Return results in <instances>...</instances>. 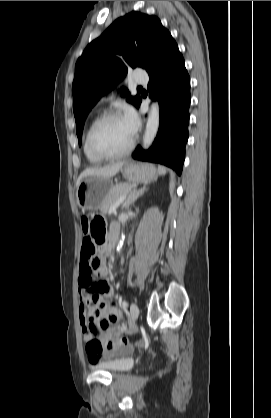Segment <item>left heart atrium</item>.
I'll return each instance as SVG.
<instances>
[{"instance_id":"39dd6f15","label":"left heart atrium","mask_w":271,"mask_h":418,"mask_svg":"<svg viewBox=\"0 0 271 418\" xmlns=\"http://www.w3.org/2000/svg\"><path fill=\"white\" fill-rule=\"evenodd\" d=\"M128 131L133 136L138 129L139 119L136 112L133 109H127L122 117Z\"/></svg>"}]
</instances>
